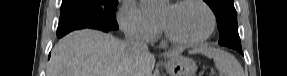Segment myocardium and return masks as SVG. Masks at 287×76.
<instances>
[{
	"instance_id": "f54148a6",
	"label": "myocardium",
	"mask_w": 287,
	"mask_h": 76,
	"mask_svg": "<svg viewBox=\"0 0 287 76\" xmlns=\"http://www.w3.org/2000/svg\"><path fill=\"white\" fill-rule=\"evenodd\" d=\"M189 3L199 5L200 7H202L205 10V12L208 15V19H209L208 27H207L206 31L201 36H199L195 39H190V40L177 38L176 36H174L170 32V30L168 29V27L166 26L164 21L161 20L162 29H163V32H164L166 39L173 44H176L179 46H185V47H191V46L199 45V44L207 41L210 38V36L213 34V32L216 28V16H215L213 10L210 8V6L206 2H204L203 0H181V1H177V2L172 3L171 6L172 7H179L181 5H185V4H189Z\"/></svg>"
}]
</instances>
